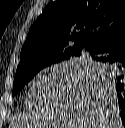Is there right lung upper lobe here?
Instances as JSON below:
<instances>
[{
	"label": "right lung upper lobe",
	"mask_w": 125,
	"mask_h": 128,
	"mask_svg": "<svg viewBox=\"0 0 125 128\" xmlns=\"http://www.w3.org/2000/svg\"><path fill=\"white\" fill-rule=\"evenodd\" d=\"M125 29V0H58L31 26L17 71L53 58L91 55Z\"/></svg>",
	"instance_id": "1"
}]
</instances>
